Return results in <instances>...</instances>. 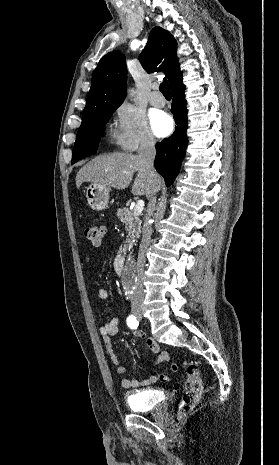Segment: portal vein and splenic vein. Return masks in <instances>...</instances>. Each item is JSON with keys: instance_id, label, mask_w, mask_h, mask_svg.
<instances>
[{"instance_id": "portal-vein-and-splenic-vein-1", "label": "portal vein and splenic vein", "mask_w": 279, "mask_h": 465, "mask_svg": "<svg viewBox=\"0 0 279 465\" xmlns=\"http://www.w3.org/2000/svg\"><path fill=\"white\" fill-rule=\"evenodd\" d=\"M144 209V201L143 200H138L134 209H133V214L138 216L142 213Z\"/></svg>"}]
</instances>
